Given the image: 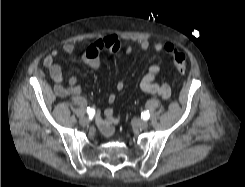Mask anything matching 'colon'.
<instances>
[{
  "label": "colon",
  "instance_id": "1",
  "mask_svg": "<svg viewBox=\"0 0 245 187\" xmlns=\"http://www.w3.org/2000/svg\"><path fill=\"white\" fill-rule=\"evenodd\" d=\"M165 51L172 56V61L177 73L183 76L187 69V62L185 55L179 50L175 49L173 45L166 44Z\"/></svg>",
  "mask_w": 245,
  "mask_h": 187
}]
</instances>
